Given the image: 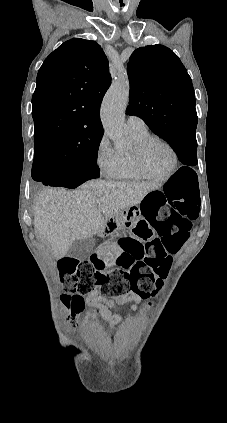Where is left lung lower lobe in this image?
Returning a JSON list of instances; mask_svg holds the SVG:
<instances>
[{"instance_id":"1","label":"left lung lower lobe","mask_w":227,"mask_h":423,"mask_svg":"<svg viewBox=\"0 0 227 423\" xmlns=\"http://www.w3.org/2000/svg\"><path fill=\"white\" fill-rule=\"evenodd\" d=\"M170 146L176 152L178 159L185 165L194 166L197 164V142L196 137H182L172 143ZM195 173L188 167H182L178 174Z\"/></svg>"}]
</instances>
